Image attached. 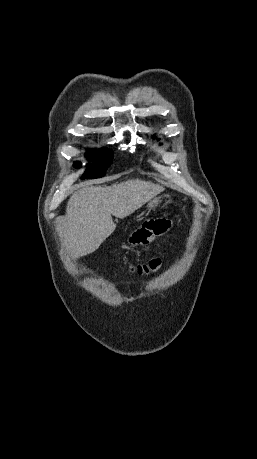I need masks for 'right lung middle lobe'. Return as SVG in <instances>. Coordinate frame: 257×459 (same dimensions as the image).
Masks as SVG:
<instances>
[{
	"label": "right lung middle lobe",
	"mask_w": 257,
	"mask_h": 459,
	"mask_svg": "<svg viewBox=\"0 0 257 459\" xmlns=\"http://www.w3.org/2000/svg\"><path fill=\"white\" fill-rule=\"evenodd\" d=\"M87 157L94 159L92 164H89L86 172L82 176V179H95L105 175L107 168L111 165L113 159V153L105 149L100 150H88ZM75 166L79 167L80 164L75 162Z\"/></svg>",
	"instance_id": "right-lung-middle-lobe-1"
}]
</instances>
